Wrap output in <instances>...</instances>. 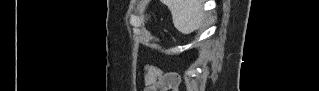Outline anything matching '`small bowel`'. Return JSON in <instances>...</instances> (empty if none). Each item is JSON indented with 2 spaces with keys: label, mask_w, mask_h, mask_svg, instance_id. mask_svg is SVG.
Wrapping results in <instances>:
<instances>
[{
  "label": "small bowel",
  "mask_w": 319,
  "mask_h": 91,
  "mask_svg": "<svg viewBox=\"0 0 319 91\" xmlns=\"http://www.w3.org/2000/svg\"><path fill=\"white\" fill-rule=\"evenodd\" d=\"M162 76V73L158 69H147L146 70V82L152 83L155 82L158 78ZM169 76V75H166ZM177 84V78L174 76L172 80L169 81L168 85L175 86Z\"/></svg>",
  "instance_id": "1"
}]
</instances>
